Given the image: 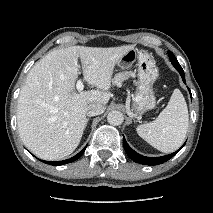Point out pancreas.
<instances>
[{"mask_svg": "<svg viewBox=\"0 0 213 213\" xmlns=\"http://www.w3.org/2000/svg\"><path fill=\"white\" fill-rule=\"evenodd\" d=\"M134 76V73L131 71L121 72L115 75L113 79V84L120 85L123 81L127 80L129 77Z\"/></svg>", "mask_w": 213, "mask_h": 213, "instance_id": "obj_1", "label": "pancreas"}]
</instances>
